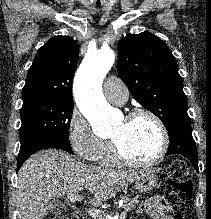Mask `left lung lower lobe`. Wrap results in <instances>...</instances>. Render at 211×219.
<instances>
[{"label":"left lung lower lobe","mask_w":211,"mask_h":219,"mask_svg":"<svg viewBox=\"0 0 211 219\" xmlns=\"http://www.w3.org/2000/svg\"><path fill=\"white\" fill-rule=\"evenodd\" d=\"M170 145L166 155L181 154L188 158L197 172L198 158L196 143L192 137L191 125L179 126L169 134Z\"/></svg>","instance_id":"left-lung-lower-lobe-1"}]
</instances>
